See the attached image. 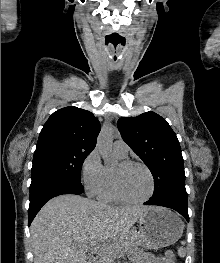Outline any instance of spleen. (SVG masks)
Instances as JSON below:
<instances>
[{"label": "spleen", "instance_id": "3e777b00", "mask_svg": "<svg viewBox=\"0 0 220 263\" xmlns=\"http://www.w3.org/2000/svg\"><path fill=\"white\" fill-rule=\"evenodd\" d=\"M185 244V242L183 241L182 242V245H184ZM178 252H179V254L181 255V256H184V254H185V249L182 247V248H180L179 250H178Z\"/></svg>", "mask_w": 220, "mask_h": 263}]
</instances>
